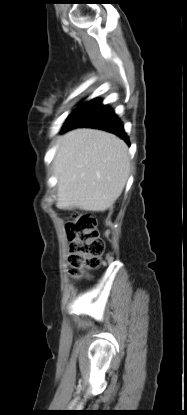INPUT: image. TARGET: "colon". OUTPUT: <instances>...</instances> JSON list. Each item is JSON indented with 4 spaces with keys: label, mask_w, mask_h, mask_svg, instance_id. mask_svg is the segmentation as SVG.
I'll list each match as a JSON object with an SVG mask.
<instances>
[{
    "label": "colon",
    "mask_w": 187,
    "mask_h": 415,
    "mask_svg": "<svg viewBox=\"0 0 187 415\" xmlns=\"http://www.w3.org/2000/svg\"><path fill=\"white\" fill-rule=\"evenodd\" d=\"M66 233L70 243V273L81 277L86 270L97 268L105 246L97 230L96 218L89 213H80L66 224Z\"/></svg>",
    "instance_id": "5ec220e1"
}]
</instances>
